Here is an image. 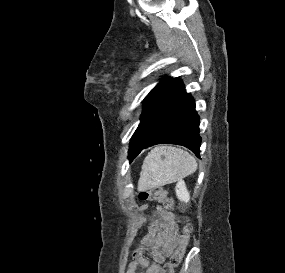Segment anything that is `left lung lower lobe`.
<instances>
[{
    "label": "left lung lower lobe",
    "instance_id": "1",
    "mask_svg": "<svg viewBox=\"0 0 285 273\" xmlns=\"http://www.w3.org/2000/svg\"><path fill=\"white\" fill-rule=\"evenodd\" d=\"M199 116L194 99L186 93L181 80L144 115L130 141L128 158L132 161L142 149L156 144H177L200 152Z\"/></svg>",
    "mask_w": 285,
    "mask_h": 273
}]
</instances>
